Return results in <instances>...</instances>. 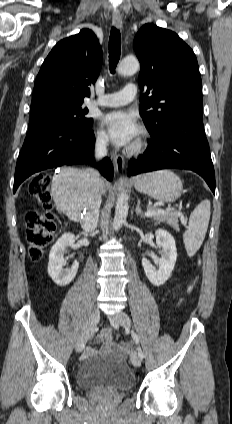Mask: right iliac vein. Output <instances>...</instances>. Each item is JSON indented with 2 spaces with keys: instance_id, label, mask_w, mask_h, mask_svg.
<instances>
[{
  "instance_id": "right-iliac-vein-1",
  "label": "right iliac vein",
  "mask_w": 232,
  "mask_h": 424,
  "mask_svg": "<svg viewBox=\"0 0 232 424\" xmlns=\"http://www.w3.org/2000/svg\"><path fill=\"white\" fill-rule=\"evenodd\" d=\"M99 320H100V312H99V309L96 308L91 312L88 322L85 326L84 332L76 343L75 350L77 353H80L83 351V349L85 348L87 339L94 332Z\"/></svg>"
}]
</instances>
